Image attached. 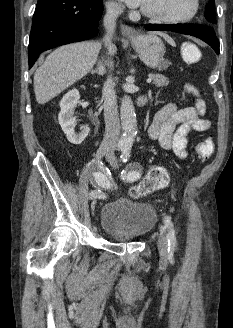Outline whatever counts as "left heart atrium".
<instances>
[{
	"mask_svg": "<svg viewBox=\"0 0 233 328\" xmlns=\"http://www.w3.org/2000/svg\"><path fill=\"white\" fill-rule=\"evenodd\" d=\"M125 2L128 6L132 8H136L139 6H142L145 0H122Z\"/></svg>",
	"mask_w": 233,
	"mask_h": 328,
	"instance_id": "obj_1",
	"label": "left heart atrium"
}]
</instances>
